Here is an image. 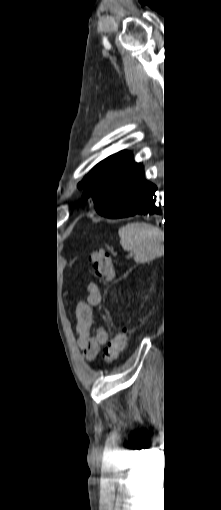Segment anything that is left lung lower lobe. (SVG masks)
<instances>
[{"label":"left lung lower lobe","instance_id":"1","mask_svg":"<svg viewBox=\"0 0 221 510\" xmlns=\"http://www.w3.org/2000/svg\"><path fill=\"white\" fill-rule=\"evenodd\" d=\"M157 188L144 178V172L130 182L114 199L104 208L96 210L106 218H125L136 214H161L154 206L153 199Z\"/></svg>","mask_w":221,"mask_h":510}]
</instances>
